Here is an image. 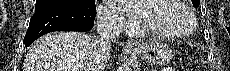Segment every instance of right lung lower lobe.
Here are the masks:
<instances>
[{"label": "right lung lower lobe", "mask_w": 230, "mask_h": 71, "mask_svg": "<svg viewBox=\"0 0 230 71\" xmlns=\"http://www.w3.org/2000/svg\"><path fill=\"white\" fill-rule=\"evenodd\" d=\"M96 10H85L69 5H43L35 8L23 40L28 47L38 37L53 31H90Z\"/></svg>", "instance_id": "1"}]
</instances>
